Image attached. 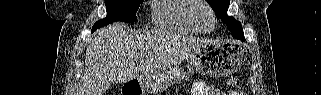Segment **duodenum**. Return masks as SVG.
<instances>
[{
    "instance_id": "obj_1",
    "label": "duodenum",
    "mask_w": 321,
    "mask_h": 95,
    "mask_svg": "<svg viewBox=\"0 0 321 95\" xmlns=\"http://www.w3.org/2000/svg\"><path fill=\"white\" fill-rule=\"evenodd\" d=\"M142 81H143V80L138 81L137 84L139 85Z\"/></svg>"
}]
</instances>
